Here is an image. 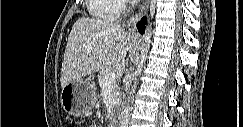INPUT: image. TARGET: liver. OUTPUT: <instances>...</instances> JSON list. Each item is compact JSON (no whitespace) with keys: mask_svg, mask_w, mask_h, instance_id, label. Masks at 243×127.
Listing matches in <instances>:
<instances>
[{"mask_svg":"<svg viewBox=\"0 0 243 127\" xmlns=\"http://www.w3.org/2000/svg\"><path fill=\"white\" fill-rule=\"evenodd\" d=\"M137 35L120 24L101 20L80 18L69 34L62 68L61 87L70 82L117 66L132 49Z\"/></svg>","mask_w":243,"mask_h":127,"instance_id":"obj_1","label":"liver"}]
</instances>
